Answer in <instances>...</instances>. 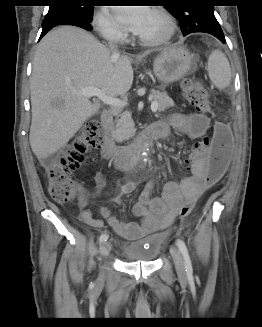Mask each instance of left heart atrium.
<instances>
[{
	"mask_svg": "<svg viewBox=\"0 0 262 327\" xmlns=\"http://www.w3.org/2000/svg\"><path fill=\"white\" fill-rule=\"evenodd\" d=\"M151 10L143 6H122L114 8L116 19L128 30L138 33Z\"/></svg>",
	"mask_w": 262,
	"mask_h": 327,
	"instance_id": "left-heart-atrium-1",
	"label": "left heart atrium"
}]
</instances>
